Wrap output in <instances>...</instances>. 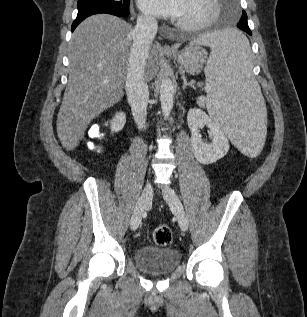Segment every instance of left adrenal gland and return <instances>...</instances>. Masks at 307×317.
Listing matches in <instances>:
<instances>
[{"instance_id":"1","label":"left adrenal gland","mask_w":307,"mask_h":317,"mask_svg":"<svg viewBox=\"0 0 307 317\" xmlns=\"http://www.w3.org/2000/svg\"><path fill=\"white\" fill-rule=\"evenodd\" d=\"M182 79H183V86H182L183 90H185L187 87H191V88L195 89L194 85L192 83L187 82V79L185 76H183Z\"/></svg>"}]
</instances>
